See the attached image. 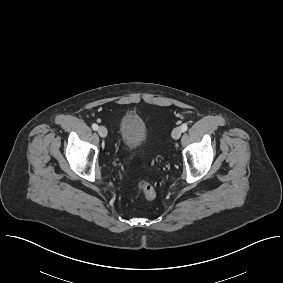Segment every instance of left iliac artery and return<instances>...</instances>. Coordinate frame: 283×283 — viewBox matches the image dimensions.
Instances as JSON below:
<instances>
[{"mask_svg": "<svg viewBox=\"0 0 283 283\" xmlns=\"http://www.w3.org/2000/svg\"><path fill=\"white\" fill-rule=\"evenodd\" d=\"M188 129V125L186 123L181 125L182 132H185Z\"/></svg>", "mask_w": 283, "mask_h": 283, "instance_id": "left-iliac-artery-1", "label": "left iliac artery"}]
</instances>
